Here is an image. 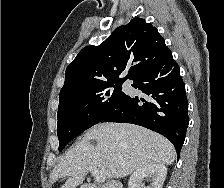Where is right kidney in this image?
<instances>
[{"instance_id":"obj_1","label":"right kidney","mask_w":224,"mask_h":188,"mask_svg":"<svg viewBox=\"0 0 224 188\" xmlns=\"http://www.w3.org/2000/svg\"><path fill=\"white\" fill-rule=\"evenodd\" d=\"M167 175V168L163 164L154 163L136 170L128 181V188H162ZM150 178L151 184L144 186L142 180Z\"/></svg>"}]
</instances>
